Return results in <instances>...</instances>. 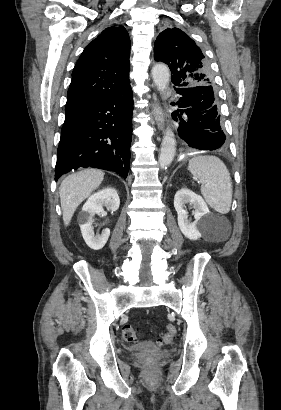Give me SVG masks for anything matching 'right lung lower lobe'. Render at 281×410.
<instances>
[{
	"mask_svg": "<svg viewBox=\"0 0 281 410\" xmlns=\"http://www.w3.org/2000/svg\"><path fill=\"white\" fill-rule=\"evenodd\" d=\"M131 86L93 100L66 115L57 151L55 180L79 167L127 177L132 138Z\"/></svg>",
	"mask_w": 281,
	"mask_h": 410,
	"instance_id": "98d812e1",
	"label": "right lung lower lobe"
}]
</instances>
